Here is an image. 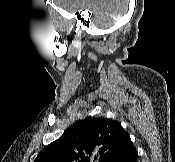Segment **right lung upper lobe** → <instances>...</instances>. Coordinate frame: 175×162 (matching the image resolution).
<instances>
[{"instance_id": "1", "label": "right lung upper lobe", "mask_w": 175, "mask_h": 162, "mask_svg": "<svg viewBox=\"0 0 175 162\" xmlns=\"http://www.w3.org/2000/svg\"><path fill=\"white\" fill-rule=\"evenodd\" d=\"M132 146L118 121L88 117L69 127L34 162H112Z\"/></svg>"}]
</instances>
